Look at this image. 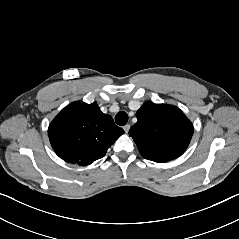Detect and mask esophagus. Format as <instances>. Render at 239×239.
<instances>
[{"label":"esophagus","mask_w":239,"mask_h":239,"mask_svg":"<svg viewBox=\"0 0 239 239\" xmlns=\"http://www.w3.org/2000/svg\"><path fill=\"white\" fill-rule=\"evenodd\" d=\"M125 133H128L129 129H130V125L129 124H126L124 127H123Z\"/></svg>","instance_id":"esophagus-1"}]
</instances>
